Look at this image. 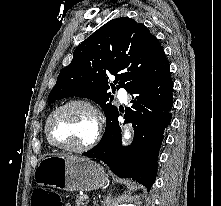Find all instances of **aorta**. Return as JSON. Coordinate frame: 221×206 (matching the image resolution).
<instances>
[{"label":"aorta","mask_w":221,"mask_h":206,"mask_svg":"<svg viewBox=\"0 0 221 206\" xmlns=\"http://www.w3.org/2000/svg\"><path fill=\"white\" fill-rule=\"evenodd\" d=\"M131 137V132L129 127H126L124 134H123V144H126V141Z\"/></svg>","instance_id":"762f6f07"}]
</instances>
